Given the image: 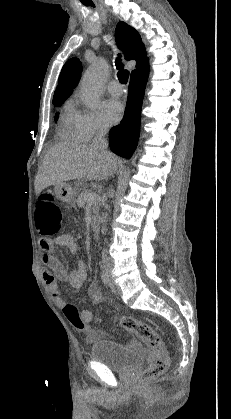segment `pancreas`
I'll return each instance as SVG.
<instances>
[{
    "instance_id": "cf45deb5",
    "label": "pancreas",
    "mask_w": 231,
    "mask_h": 419,
    "mask_svg": "<svg viewBox=\"0 0 231 419\" xmlns=\"http://www.w3.org/2000/svg\"><path fill=\"white\" fill-rule=\"evenodd\" d=\"M88 193H91V190H89V189H84L83 191H81V193L79 194V196H78V199L76 200V204L79 206V207H84L85 206V204L86 203H88V200H87V198H86V195L88 194ZM92 209H93V214H94V216H93V218H95V216L98 214V209H99V200H94L93 202H92Z\"/></svg>"
}]
</instances>
